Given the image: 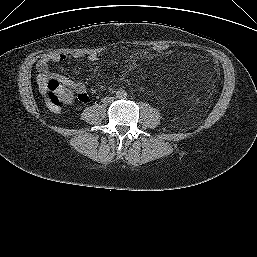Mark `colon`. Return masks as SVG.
<instances>
[{
  "mask_svg": "<svg viewBox=\"0 0 257 257\" xmlns=\"http://www.w3.org/2000/svg\"><path fill=\"white\" fill-rule=\"evenodd\" d=\"M153 49L158 53L167 51L168 46L164 44L155 45ZM42 90L45 95V100L49 108L52 110H60L64 105L71 104L74 99V93L64 87L57 79H49L42 85ZM80 100V98L78 97Z\"/></svg>",
  "mask_w": 257,
  "mask_h": 257,
  "instance_id": "obj_1",
  "label": "colon"
}]
</instances>
